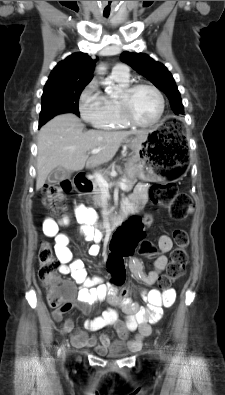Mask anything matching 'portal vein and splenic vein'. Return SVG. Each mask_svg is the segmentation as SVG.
<instances>
[{
	"instance_id": "1",
	"label": "portal vein and splenic vein",
	"mask_w": 225,
	"mask_h": 395,
	"mask_svg": "<svg viewBox=\"0 0 225 395\" xmlns=\"http://www.w3.org/2000/svg\"><path fill=\"white\" fill-rule=\"evenodd\" d=\"M101 148H97V149H93L91 151V154H97L101 151ZM95 180L98 183L99 187L101 188V190L107 191L108 188H110L111 186L115 185L114 183H108L105 178L103 177L102 174L95 172ZM122 190H126L127 185L124 182H117L116 183Z\"/></svg>"
}]
</instances>
